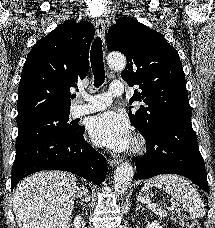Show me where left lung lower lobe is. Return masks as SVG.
I'll list each match as a JSON object with an SVG mask.
<instances>
[{
  "mask_svg": "<svg viewBox=\"0 0 215 228\" xmlns=\"http://www.w3.org/2000/svg\"><path fill=\"white\" fill-rule=\"evenodd\" d=\"M145 140L147 152L142 157L135 158V179L178 174L209 193L205 164L191 119L161 122Z\"/></svg>",
  "mask_w": 215,
  "mask_h": 228,
  "instance_id": "obj_1",
  "label": "left lung lower lobe"
}]
</instances>
